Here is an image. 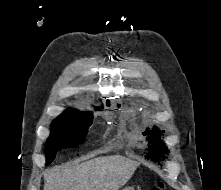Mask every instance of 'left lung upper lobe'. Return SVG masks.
I'll return each instance as SVG.
<instances>
[{"label": "left lung upper lobe", "instance_id": "left-lung-upper-lobe-1", "mask_svg": "<svg viewBox=\"0 0 221 190\" xmlns=\"http://www.w3.org/2000/svg\"><path fill=\"white\" fill-rule=\"evenodd\" d=\"M148 134H150V132H147ZM151 135H152V137H149V139L150 138H152V141H154L153 139H154V137L155 138H157L158 137V133H156V132H154V133H151ZM154 136V137H153ZM157 141V140H156ZM156 141H154V142H156Z\"/></svg>", "mask_w": 221, "mask_h": 190}]
</instances>
